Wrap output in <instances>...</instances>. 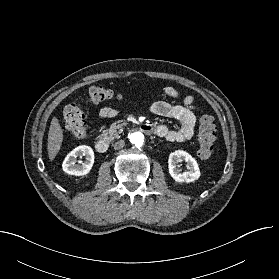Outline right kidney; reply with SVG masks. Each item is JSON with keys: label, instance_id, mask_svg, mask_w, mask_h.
<instances>
[{"label": "right kidney", "instance_id": "1", "mask_svg": "<svg viewBox=\"0 0 279 279\" xmlns=\"http://www.w3.org/2000/svg\"><path fill=\"white\" fill-rule=\"evenodd\" d=\"M80 156L86 157V161L82 164H76V158ZM94 163L93 149L86 145H81L73 149L65 158L62 164L63 171L70 175L84 176L87 175Z\"/></svg>", "mask_w": 279, "mask_h": 279}]
</instances>
